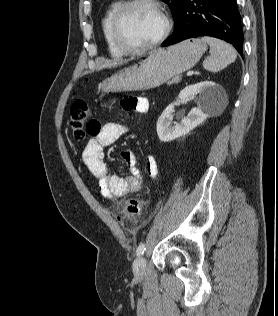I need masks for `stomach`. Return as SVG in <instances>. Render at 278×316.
I'll use <instances>...</instances> for the list:
<instances>
[{
  "label": "stomach",
  "mask_w": 278,
  "mask_h": 316,
  "mask_svg": "<svg viewBox=\"0 0 278 316\" xmlns=\"http://www.w3.org/2000/svg\"><path fill=\"white\" fill-rule=\"evenodd\" d=\"M205 50L200 39L154 50L138 64L105 79L99 88L104 91H142L158 87L194 67Z\"/></svg>",
  "instance_id": "1"
}]
</instances>
